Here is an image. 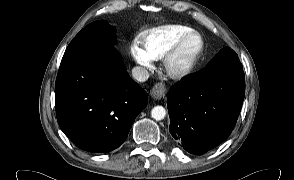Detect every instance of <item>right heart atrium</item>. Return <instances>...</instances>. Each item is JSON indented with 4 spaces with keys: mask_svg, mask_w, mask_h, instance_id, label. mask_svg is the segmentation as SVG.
Instances as JSON below:
<instances>
[{
    "mask_svg": "<svg viewBox=\"0 0 294 180\" xmlns=\"http://www.w3.org/2000/svg\"><path fill=\"white\" fill-rule=\"evenodd\" d=\"M129 52L139 66L144 69L151 68L153 59L147 54L145 49L139 43L132 42L129 47Z\"/></svg>",
    "mask_w": 294,
    "mask_h": 180,
    "instance_id": "1",
    "label": "right heart atrium"
}]
</instances>
